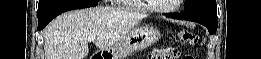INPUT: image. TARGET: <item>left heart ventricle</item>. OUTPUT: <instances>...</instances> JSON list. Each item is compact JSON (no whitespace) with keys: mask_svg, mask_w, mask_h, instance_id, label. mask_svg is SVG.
<instances>
[{"mask_svg":"<svg viewBox=\"0 0 261 59\" xmlns=\"http://www.w3.org/2000/svg\"><path fill=\"white\" fill-rule=\"evenodd\" d=\"M176 1L177 0H155V1H151V3L159 7H171L175 5Z\"/></svg>","mask_w":261,"mask_h":59,"instance_id":"left-heart-ventricle-1","label":"left heart ventricle"}]
</instances>
